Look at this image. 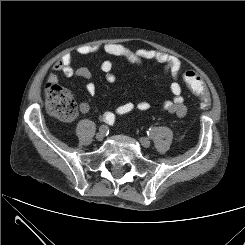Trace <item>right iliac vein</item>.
Returning a JSON list of instances; mask_svg holds the SVG:
<instances>
[{"mask_svg":"<svg viewBox=\"0 0 245 245\" xmlns=\"http://www.w3.org/2000/svg\"><path fill=\"white\" fill-rule=\"evenodd\" d=\"M105 137V133H103L101 130H99V132L96 134V139L98 141H102Z\"/></svg>","mask_w":245,"mask_h":245,"instance_id":"obj_1","label":"right iliac vein"}]
</instances>
